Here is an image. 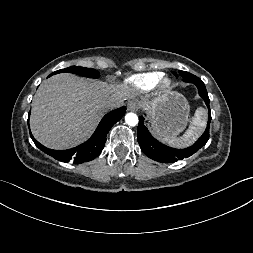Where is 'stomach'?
<instances>
[{
	"mask_svg": "<svg viewBox=\"0 0 253 253\" xmlns=\"http://www.w3.org/2000/svg\"><path fill=\"white\" fill-rule=\"evenodd\" d=\"M140 106L149 112L154 133L162 137L174 138L187 125L190 107L178 92L165 93L151 102H140Z\"/></svg>",
	"mask_w": 253,
	"mask_h": 253,
	"instance_id": "1",
	"label": "stomach"
}]
</instances>
